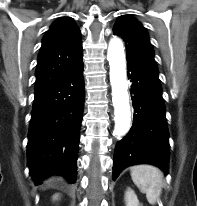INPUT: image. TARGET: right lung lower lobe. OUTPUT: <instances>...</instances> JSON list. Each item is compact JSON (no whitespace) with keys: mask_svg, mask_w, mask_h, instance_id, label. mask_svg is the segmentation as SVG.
Instances as JSON below:
<instances>
[{"mask_svg":"<svg viewBox=\"0 0 197 206\" xmlns=\"http://www.w3.org/2000/svg\"><path fill=\"white\" fill-rule=\"evenodd\" d=\"M83 62L35 93L28 134V167L36 185L51 174L76 181L79 128L84 107Z\"/></svg>","mask_w":197,"mask_h":206,"instance_id":"right-lung-lower-lobe-1","label":"right lung lower lobe"}]
</instances>
